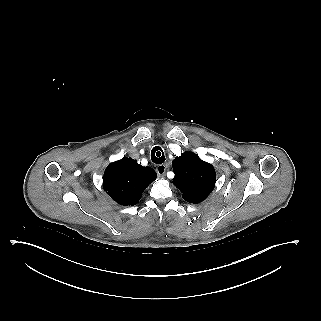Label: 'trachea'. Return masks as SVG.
Returning a JSON list of instances; mask_svg holds the SVG:
<instances>
[{"label":"trachea","mask_w":321,"mask_h":321,"mask_svg":"<svg viewBox=\"0 0 321 321\" xmlns=\"http://www.w3.org/2000/svg\"><path fill=\"white\" fill-rule=\"evenodd\" d=\"M151 159L155 164H162L165 162V156L160 147L156 146L152 149Z\"/></svg>","instance_id":"trachea-1"}]
</instances>
